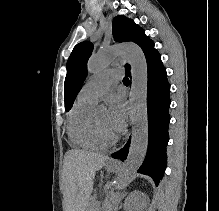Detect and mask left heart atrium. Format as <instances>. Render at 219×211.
Here are the masks:
<instances>
[{"label": "left heart atrium", "instance_id": "left-heart-atrium-1", "mask_svg": "<svg viewBox=\"0 0 219 211\" xmlns=\"http://www.w3.org/2000/svg\"><path fill=\"white\" fill-rule=\"evenodd\" d=\"M108 122L113 131H121L126 123V106L119 96H111L108 99Z\"/></svg>", "mask_w": 219, "mask_h": 211}]
</instances>
